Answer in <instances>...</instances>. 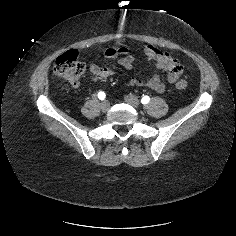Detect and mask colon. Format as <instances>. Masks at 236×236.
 Masks as SVG:
<instances>
[{"mask_svg": "<svg viewBox=\"0 0 236 236\" xmlns=\"http://www.w3.org/2000/svg\"><path fill=\"white\" fill-rule=\"evenodd\" d=\"M86 65L79 59L78 53L70 50L60 55L54 63L55 74L74 86L79 84L80 77L84 74ZM188 85L186 80L176 83L177 89H185Z\"/></svg>", "mask_w": 236, "mask_h": 236, "instance_id": "obj_1", "label": "colon"}]
</instances>
